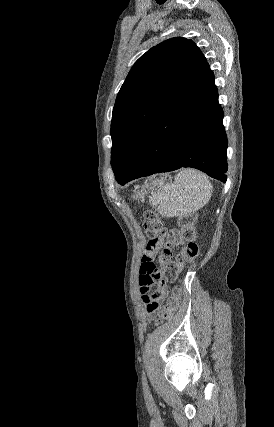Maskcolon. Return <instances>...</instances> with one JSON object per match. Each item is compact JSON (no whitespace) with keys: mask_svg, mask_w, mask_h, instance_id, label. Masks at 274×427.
<instances>
[{"mask_svg":"<svg viewBox=\"0 0 274 427\" xmlns=\"http://www.w3.org/2000/svg\"><path fill=\"white\" fill-rule=\"evenodd\" d=\"M192 222L193 220L189 217L182 218L175 227L167 229L163 227L157 213L154 210H148L144 214L143 229L145 236H160L163 248H180V254L187 263L199 255L197 232L191 227ZM182 294L181 287L175 286L169 295L170 302H181ZM173 314L172 305H162L157 311H151V317L157 320L172 318ZM156 328L162 329L163 323L157 322Z\"/></svg>","mask_w":274,"mask_h":427,"instance_id":"colon-1","label":"colon"}]
</instances>
